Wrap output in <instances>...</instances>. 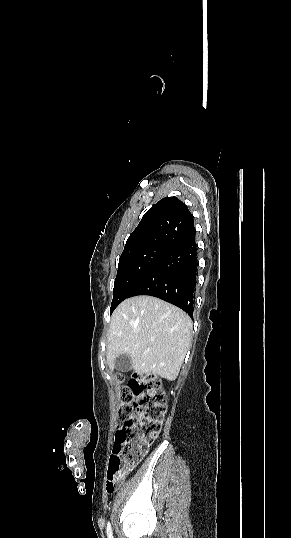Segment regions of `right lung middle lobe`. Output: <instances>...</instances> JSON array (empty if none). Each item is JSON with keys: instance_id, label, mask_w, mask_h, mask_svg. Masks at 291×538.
I'll return each instance as SVG.
<instances>
[{"instance_id": "1", "label": "right lung middle lobe", "mask_w": 291, "mask_h": 538, "mask_svg": "<svg viewBox=\"0 0 291 538\" xmlns=\"http://www.w3.org/2000/svg\"><path fill=\"white\" fill-rule=\"evenodd\" d=\"M165 246H146L123 253L119 258L110 313L126 298L144 276L170 251Z\"/></svg>"}]
</instances>
